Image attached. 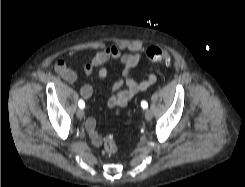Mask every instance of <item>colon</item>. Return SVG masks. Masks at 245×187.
<instances>
[{
	"instance_id": "1",
	"label": "colon",
	"mask_w": 245,
	"mask_h": 187,
	"mask_svg": "<svg viewBox=\"0 0 245 187\" xmlns=\"http://www.w3.org/2000/svg\"><path fill=\"white\" fill-rule=\"evenodd\" d=\"M148 60L156 65H169L171 62L170 53L156 46H151L146 50ZM118 151V146L112 137H107L103 144V152L106 155H114Z\"/></svg>"
}]
</instances>
